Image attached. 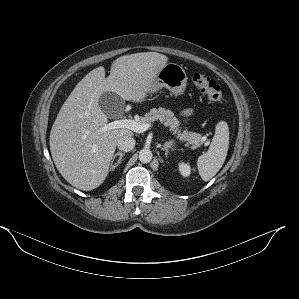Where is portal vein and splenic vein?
Wrapping results in <instances>:
<instances>
[{
  "mask_svg": "<svg viewBox=\"0 0 299 299\" xmlns=\"http://www.w3.org/2000/svg\"><path fill=\"white\" fill-rule=\"evenodd\" d=\"M150 127H151V124H149V123L144 124V123L137 122V121L131 120V119H120V120H115L113 122L106 124L104 127H102V130L108 131V130L117 129V128H127L136 133H142V132L148 130Z\"/></svg>",
  "mask_w": 299,
  "mask_h": 299,
  "instance_id": "obj_1",
  "label": "portal vein and splenic vein"
}]
</instances>
